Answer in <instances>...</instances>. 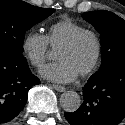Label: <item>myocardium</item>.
I'll list each match as a JSON object with an SVG mask.
<instances>
[{"mask_svg":"<svg viewBox=\"0 0 125 125\" xmlns=\"http://www.w3.org/2000/svg\"><path fill=\"white\" fill-rule=\"evenodd\" d=\"M84 35H90L93 37V39L95 41V45H96V52H95V56H94V59L91 62V64L88 66V68H86L83 72H81L78 75L79 77H87V76L91 75L99 64V61L101 58V53H102V44H101V40H100V37L97 34V32L92 29H83V30L75 33L74 35H72L67 41H65L63 44H61L57 48V50L58 49H69V48L73 47L77 43V41Z\"/></svg>","mask_w":125,"mask_h":125,"instance_id":"myocardium-1","label":"myocardium"}]
</instances>
